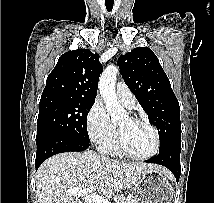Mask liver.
Returning a JSON list of instances; mask_svg holds the SVG:
<instances>
[{
	"instance_id": "1",
	"label": "liver",
	"mask_w": 214,
	"mask_h": 203,
	"mask_svg": "<svg viewBox=\"0 0 214 203\" xmlns=\"http://www.w3.org/2000/svg\"><path fill=\"white\" fill-rule=\"evenodd\" d=\"M153 164L119 162L93 151L66 152L47 159L36 174L38 203H82L71 195L72 188L96 187L99 195L109 196L136 185L141 172Z\"/></svg>"
}]
</instances>
